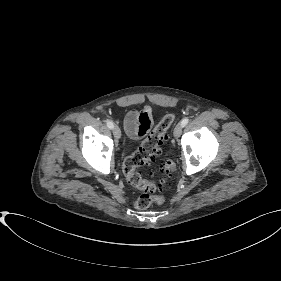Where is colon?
Instances as JSON below:
<instances>
[{
  "label": "colon",
  "mask_w": 281,
  "mask_h": 281,
  "mask_svg": "<svg viewBox=\"0 0 281 281\" xmlns=\"http://www.w3.org/2000/svg\"><path fill=\"white\" fill-rule=\"evenodd\" d=\"M174 120L173 114L165 116L147 136L143 144L123 161L122 170L127 181L143 192L134 199V205L139 209H146L153 203L161 204L164 201L162 192L168 184V178L174 173V162L170 159L165 160L162 172L166 178L159 181L144 179L139 173L138 167L153 161L160 154L161 145L167 140V131Z\"/></svg>",
  "instance_id": "obj_1"
}]
</instances>
